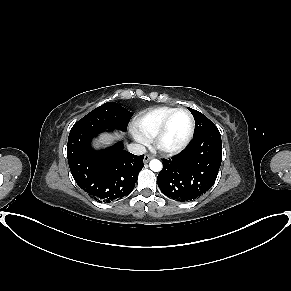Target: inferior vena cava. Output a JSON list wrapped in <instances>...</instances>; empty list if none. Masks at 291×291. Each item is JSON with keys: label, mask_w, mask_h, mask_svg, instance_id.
Listing matches in <instances>:
<instances>
[{"label": "inferior vena cava", "mask_w": 291, "mask_h": 291, "mask_svg": "<svg viewBox=\"0 0 291 291\" xmlns=\"http://www.w3.org/2000/svg\"><path fill=\"white\" fill-rule=\"evenodd\" d=\"M128 150L135 155H142L146 153V148L141 144H130Z\"/></svg>", "instance_id": "inferior-vena-cava-1"}]
</instances>
